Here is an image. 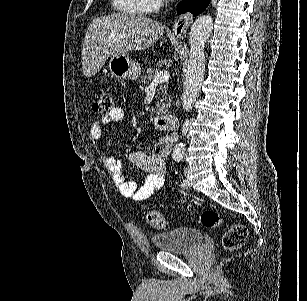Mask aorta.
Here are the masks:
<instances>
[{"label":"aorta","mask_w":307,"mask_h":301,"mask_svg":"<svg viewBox=\"0 0 307 301\" xmlns=\"http://www.w3.org/2000/svg\"><path fill=\"white\" fill-rule=\"evenodd\" d=\"M213 24L211 14H202L194 20L189 32L190 50L181 98L184 112L192 110L201 88L205 70L204 44L213 30ZM174 151H185L184 144H176Z\"/></svg>","instance_id":"1"}]
</instances>
